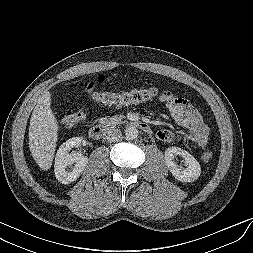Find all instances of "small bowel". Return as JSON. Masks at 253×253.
I'll return each instance as SVG.
<instances>
[{
  "label": "small bowel",
  "mask_w": 253,
  "mask_h": 253,
  "mask_svg": "<svg viewBox=\"0 0 253 253\" xmlns=\"http://www.w3.org/2000/svg\"><path fill=\"white\" fill-rule=\"evenodd\" d=\"M159 99L166 106L172 118L187 130L186 138L192 147L197 149L205 147L210 130L191 102L170 91L163 92ZM156 137L161 142H169L175 137V134L169 130H160L156 133Z\"/></svg>",
  "instance_id": "obj_1"
}]
</instances>
